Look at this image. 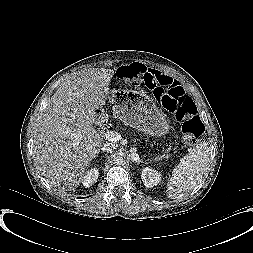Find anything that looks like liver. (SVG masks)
<instances>
[{"mask_svg":"<svg viewBox=\"0 0 253 253\" xmlns=\"http://www.w3.org/2000/svg\"><path fill=\"white\" fill-rule=\"evenodd\" d=\"M113 75L104 68L71 74L35 124L34 161L52 185L72 190L98 155L102 138L93 128V116L106 103Z\"/></svg>","mask_w":253,"mask_h":253,"instance_id":"obj_1","label":"liver"}]
</instances>
